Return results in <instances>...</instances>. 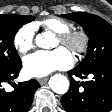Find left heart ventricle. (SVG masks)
Wrapping results in <instances>:
<instances>
[{"mask_svg": "<svg viewBox=\"0 0 112 112\" xmlns=\"http://www.w3.org/2000/svg\"><path fill=\"white\" fill-rule=\"evenodd\" d=\"M59 45H61L60 41H58V44H57V46H59Z\"/></svg>", "mask_w": 112, "mask_h": 112, "instance_id": "left-heart-ventricle-1", "label": "left heart ventricle"}]
</instances>
